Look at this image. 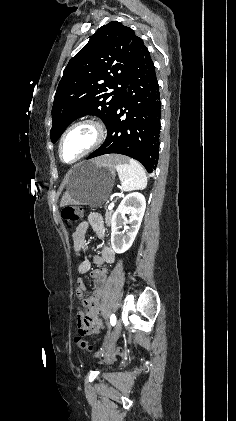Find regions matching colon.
I'll list each match as a JSON object with an SVG mask.
<instances>
[{
	"instance_id": "5ec220e1",
	"label": "colon",
	"mask_w": 236,
	"mask_h": 421,
	"mask_svg": "<svg viewBox=\"0 0 236 421\" xmlns=\"http://www.w3.org/2000/svg\"><path fill=\"white\" fill-rule=\"evenodd\" d=\"M62 217L69 224L77 223L83 217V210L79 206L68 205V206H65L62 209ZM81 248H79L77 250L80 251ZM81 324H82V322L79 321L80 326H81ZM75 343H76L77 347L82 351H90L91 350V345L86 340H84L81 336L75 337ZM114 354L115 355H124L125 352L122 349H116Z\"/></svg>"
}]
</instances>
